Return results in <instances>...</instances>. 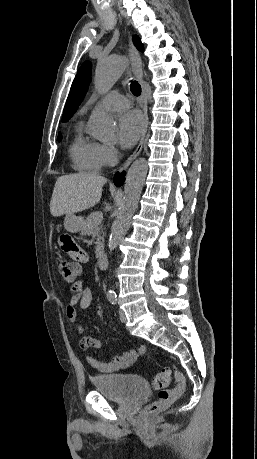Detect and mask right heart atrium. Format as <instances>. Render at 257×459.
<instances>
[{"instance_id": "d8ad5b80", "label": "right heart atrium", "mask_w": 257, "mask_h": 459, "mask_svg": "<svg viewBox=\"0 0 257 459\" xmlns=\"http://www.w3.org/2000/svg\"><path fill=\"white\" fill-rule=\"evenodd\" d=\"M117 151L113 145L102 144L100 146V159L103 165H112L116 161Z\"/></svg>"}]
</instances>
